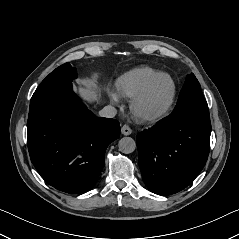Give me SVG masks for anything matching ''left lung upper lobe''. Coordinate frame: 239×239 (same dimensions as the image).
<instances>
[{"label":"left lung upper lobe","mask_w":239,"mask_h":239,"mask_svg":"<svg viewBox=\"0 0 239 239\" xmlns=\"http://www.w3.org/2000/svg\"><path fill=\"white\" fill-rule=\"evenodd\" d=\"M189 104H207L202 94L200 83L193 73L187 75L174 111Z\"/></svg>","instance_id":"left-lung-upper-lobe-1"}]
</instances>
